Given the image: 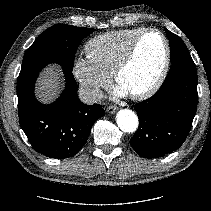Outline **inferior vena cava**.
<instances>
[{
  "label": "inferior vena cava",
  "mask_w": 211,
  "mask_h": 211,
  "mask_svg": "<svg viewBox=\"0 0 211 211\" xmlns=\"http://www.w3.org/2000/svg\"><path fill=\"white\" fill-rule=\"evenodd\" d=\"M102 98L103 92L98 88L85 87L79 90V99L85 104L92 105L101 101Z\"/></svg>",
  "instance_id": "1"
}]
</instances>
